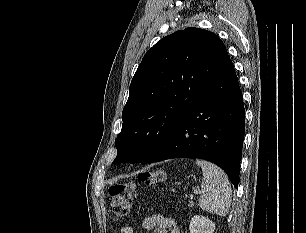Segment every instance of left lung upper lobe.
Here are the masks:
<instances>
[{
  "mask_svg": "<svg viewBox=\"0 0 306 233\" xmlns=\"http://www.w3.org/2000/svg\"><path fill=\"white\" fill-rule=\"evenodd\" d=\"M227 59L226 47L216 34L193 27L150 48L130 84L113 164L147 163Z\"/></svg>",
  "mask_w": 306,
  "mask_h": 233,
  "instance_id": "5c2ea615",
  "label": "left lung upper lobe"
}]
</instances>
